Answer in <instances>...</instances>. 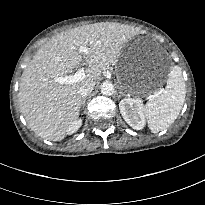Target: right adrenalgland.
I'll list each match as a JSON object with an SVG mask.
<instances>
[{
    "mask_svg": "<svg viewBox=\"0 0 205 205\" xmlns=\"http://www.w3.org/2000/svg\"><path fill=\"white\" fill-rule=\"evenodd\" d=\"M85 101H86V99L83 98V99H82V103H81V107H82V108H84V106H85Z\"/></svg>",
    "mask_w": 205,
    "mask_h": 205,
    "instance_id": "right-adrenal-gland-1",
    "label": "right adrenal gland"
}]
</instances>
